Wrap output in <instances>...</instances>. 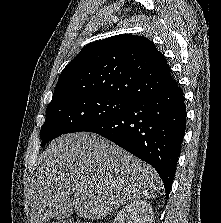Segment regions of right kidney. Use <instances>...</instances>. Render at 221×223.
Returning <instances> with one entry per match:
<instances>
[{"instance_id":"ca27d5eb","label":"right kidney","mask_w":221,"mask_h":223,"mask_svg":"<svg viewBox=\"0 0 221 223\" xmlns=\"http://www.w3.org/2000/svg\"><path fill=\"white\" fill-rule=\"evenodd\" d=\"M153 210L145 200H134L120 210L113 223H152Z\"/></svg>"}]
</instances>
